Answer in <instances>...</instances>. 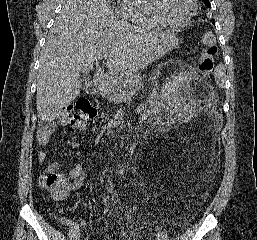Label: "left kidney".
Returning a JSON list of instances; mask_svg holds the SVG:
<instances>
[{
  "label": "left kidney",
  "mask_w": 257,
  "mask_h": 240,
  "mask_svg": "<svg viewBox=\"0 0 257 240\" xmlns=\"http://www.w3.org/2000/svg\"><path fill=\"white\" fill-rule=\"evenodd\" d=\"M177 107H178V104H174V103L171 104V111L172 112L176 111Z\"/></svg>",
  "instance_id": "left-kidney-1"
}]
</instances>
